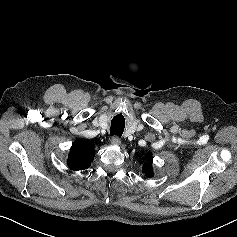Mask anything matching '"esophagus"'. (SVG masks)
I'll list each match as a JSON object with an SVG mask.
<instances>
[{
    "instance_id": "esophagus-1",
    "label": "esophagus",
    "mask_w": 237,
    "mask_h": 237,
    "mask_svg": "<svg viewBox=\"0 0 237 237\" xmlns=\"http://www.w3.org/2000/svg\"><path fill=\"white\" fill-rule=\"evenodd\" d=\"M111 143L113 145H120L121 144V140H120V138L118 136H113L111 138Z\"/></svg>"
}]
</instances>
